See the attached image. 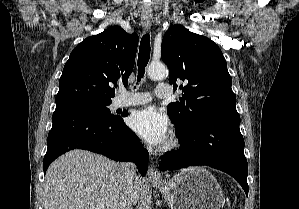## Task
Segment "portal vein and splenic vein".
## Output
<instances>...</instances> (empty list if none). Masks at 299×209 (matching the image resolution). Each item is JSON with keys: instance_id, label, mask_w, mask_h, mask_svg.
<instances>
[{"instance_id": "obj_1", "label": "portal vein and splenic vein", "mask_w": 299, "mask_h": 209, "mask_svg": "<svg viewBox=\"0 0 299 209\" xmlns=\"http://www.w3.org/2000/svg\"><path fill=\"white\" fill-rule=\"evenodd\" d=\"M95 209H104V205L103 204H97Z\"/></svg>"}]
</instances>
